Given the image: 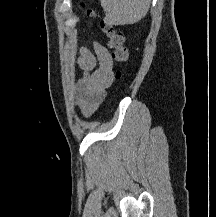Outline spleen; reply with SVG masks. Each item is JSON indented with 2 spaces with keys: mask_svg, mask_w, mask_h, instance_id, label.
Returning a JSON list of instances; mask_svg holds the SVG:
<instances>
[{
  "mask_svg": "<svg viewBox=\"0 0 216 217\" xmlns=\"http://www.w3.org/2000/svg\"><path fill=\"white\" fill-rule=\"evenodd\" d=\"M151 0H100L109 25H128L140 21L147 13Z\"/></svg>",
  "mask_w": 216,
  "mask_h": 217,
  "instance_id": "1",
  "label": "spleen"
}]
</instances>
